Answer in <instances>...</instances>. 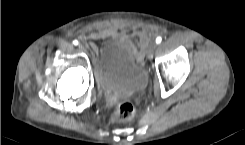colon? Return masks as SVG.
<instances>
[{"label": "colon", "instance_id": "1", "mask_svg": "<svg viewBox=\"0 0 245 145\" xmlns=\"http://www.w3.org/2000/svg\"><path fill=\"white\" fill-rule=\"evenodd\" d=\"M135 114V106L130 101H123L118 104L114 115L113 121L114 122H126L131 120Z\"/></svg>", "mask_w": 245, "mask_h": 145}]
</instances>
